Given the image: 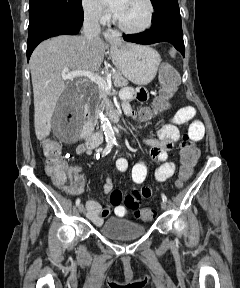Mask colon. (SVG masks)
Segmentation results:
<instances>
[{"label":"colon","instance_id":"5ec220e1","mask_svg":"<svg viewBox=\"0 0 240 288\" xmlns=\"http://www.w3.org/2000/svg\"><path fill=\"white\" fill-rule=\"evenodd\" d=\"M179 81V76L175 68L170 64H162L159 69V83L161 91L154 102V111L146 109L143 115L146 118L152 116L153 112H162L169 107ZM45 156V171L53 184L57 187L71 191L73 179L68 171L67 164L61 155L60 145L53 140H44L42 143ZM199 157V150L194 145L188 134L183 136L180 147V180L188 179L193 172ZM141 197L137 191L131 192L125 197V205L135 209V216L143 221H150L156 216V212L151 209H138Z\"/></svg>","mask_w":240,"mask_h":288}]
</instances>
